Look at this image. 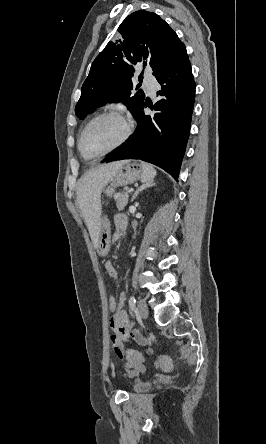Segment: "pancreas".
I'll list each match as a JSON object with an SVG mask.
<instances>
[{
    "label": "pancreas",
    "instance_id": "cf45deb5",
    "mask_svg": "<svg viewBox=\"0 0 266 444\" xmlns=\"http://www.w3.org/2000/svg\"><path fill=\"white\" fill-rule=\"evenodd\" d=\"M128 193H117L114 195L116 201V207L119 211H122L128 203Z\"/></svg>",
    "mask_w": 266,
    "mask_h": 444
}]
</instances>
